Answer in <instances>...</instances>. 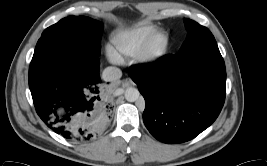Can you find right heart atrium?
I'll list each match as a JSON object with an SVG mask.
<instances>
[{"label": "right heart atrium", "instance_id": "right-heart-atrium-1", "mask_svg": "<svg viewBox=\"0 0 267 166\" xmlns=\"http://www.w3.org/2000/svg\"><path fill=\"white\" fill-rule=\"evenodd\" d=\"M108 56L111 60H114V61L118 59L115 53L111 50H108Z\"/></svg>", "mask_w": 267, "mask_h": 166}]
</instances>
